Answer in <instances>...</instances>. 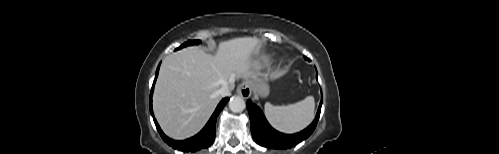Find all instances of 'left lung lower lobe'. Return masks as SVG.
<instances>
[{"label":"left lung lower lobe","instance_id":"0a47b994","mask_svg":"<svg viewBox=\"0 0 499 154\" xmlns=\"http://www.w3.org/2000/svg\"><path fill=\"white\" fill-rule=\"evenodd\" d=\"M322 100L323 99L321 98L314 121L303 131L290 135L280 133L273 129L265 119L260 108L252 103L251 100H248L246 106L250 116V127L254 140L261 146L274 149H288L296 146L299 142L308 138L314 131L319 120Z\"/></svg>","mask_w":499,"mask_h":154}]
</instances>
